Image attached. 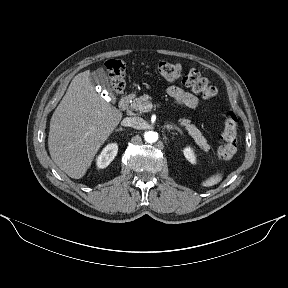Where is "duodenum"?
Returning a JSON list of instances; mask_svg holds the SVG:
<instances>
[{
	"label": "duodenum",
	"mask_w": 288,
	"mask_h": 288,
	"mask_svg": "<svg viewBox=\"0 0 288 288\" xmlns=\"http://www.w3.org/2000/svg\"><path fill=\"white\" fill-rule=\"evenodd\" d=\"M131 100H132V95L130 94L124 95L121 98L120 103H119L121 110L123 111L128 110Z\"/></svg>",
	"instance_id": "1"
}]
</instances>
